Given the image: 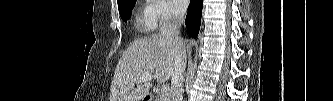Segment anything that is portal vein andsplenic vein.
Listing matches in <instances>:
<instances>
[{
  "label": "portal vein and splenic vein",
  "mask_w": 333,
  "mask_h": 101,
  "mask_svg": "<svg viewBox=\"0 0 333 101\" xmlns=\"http://www.w3.org/2000/svg\"><path fill=\"white\" fill-rule=\"evenodd\" d=\"M152 77H153L152 74H145V75H143V76L140 78V80H139L138 83H140V82H144V81H146V80H149V79H151ZM168 91H169V86L166 85V84H163L162 87H161V92H163V93H167Z\"/></svg>",
  "instance_id": "18ae733b"
}]
</instances>
